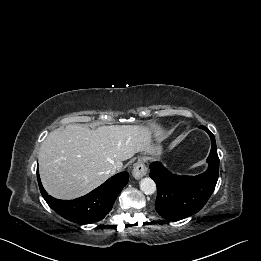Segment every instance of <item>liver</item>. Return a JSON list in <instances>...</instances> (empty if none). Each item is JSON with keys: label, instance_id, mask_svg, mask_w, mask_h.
Here are the masks:
<instances>
[{"label": "liver", "instance_id": "liver-1", "mask_svg": "<svg viewBox=\"0 0 261 261\" xmlns=\"http://www.w3.org/2000/svg\"><path fill=\"white\" fill-rule=\"evenodd\" d=\"M150 129L140 125L79 124L49 133L39 151V172L45 190L58 199H75L104 183L110 170L150 149Z\"/></svg>", "mask_w": 261, "mask_h": 261}]
</instances>
